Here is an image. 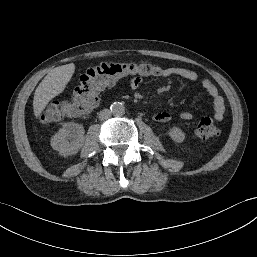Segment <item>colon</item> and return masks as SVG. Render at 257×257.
I'll use <instances>...</instances> for the list:
<instances>
[{"mask_svg": "<svg viewBox=\"0 0 257 257\" xmlns=\"http://www.w3.org/2000/svg\"><path fill=\"white\" fill-rule=\"evenodd\" d=\"M158 68L147 59L129 62H105L86 70L81 76L79 84L74 89L72 99L60 105L48 106L40 115L43 123L58 122L65 116H78L98 104L99 92L117 80L131 76H154ZM195 134L200 139H210L219 136V123L210 117L202 118Z\"/></svg>", "mask_w": 257, "mask_h": 257, "instance_id": "5ec220e1", "label": "colon"}]
</instances>
